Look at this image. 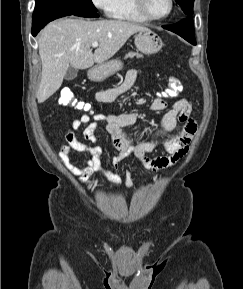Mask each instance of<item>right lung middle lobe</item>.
Masks as SVG:
<instances>
[{"label": "right lung middle lobe", "instance_id": "1", "mask_svg": "<svg viewBox=\"0 0 243 289\" xmlns=\"http://www.w3.org/2000/svg\"><path fill=\"white\" fill-rule=\"evenodd\" d=\"M36 7L97 11L91 0H36Z\"/></svg>", "mask_w": 243, "mask_h": 289}]
</instances>
